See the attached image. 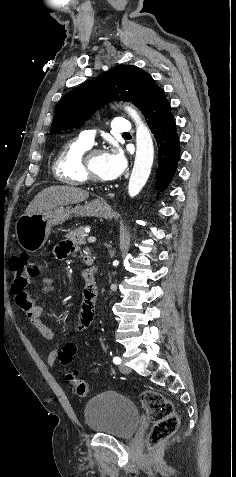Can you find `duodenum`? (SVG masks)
I'll list each match as a JSON object with an SVG mask.
<instances>
[{"mask_svg": "<svg viewBox=\"0 0 236 477\" xmlns=\"http://www.w3.org/2000/svg\"><path fill=\"white\" fill-rule=\"evenodd\" d=\"M86 264H87V265L89 266V268H90V276H89L88 282H89V284H91L92 286H95V284H96L95 261H94L93 257H89V258L86 260Z\"/></svg>", "mask_w": 236, "mask_h": 477, "instance_id": "1", "label": "duodenum"}]
</instances>
